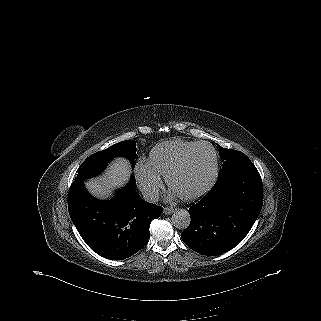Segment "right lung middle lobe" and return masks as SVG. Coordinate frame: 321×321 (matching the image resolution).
<instances>
[{"label": "right lung middle lobe", "instance_id": "obj_1", "mask_svg": "<svg viewBox=\"0 0 321 321\" xmlns=\"http://www.w3.org/2000/svg\"><path fill=\"white\" fill-rule=\"evenodd\" d=\"M134 140H126L114 144L106 150L96 152L85 159L82 165L78 168L75 182L83 184V181L89 177L99 174L113 158L123 156L127 158L135 166L134 160L137 157L136 146ZM129 186L135 188V177L132 175Z\"/></svg>", "mask_w": 321, "mask_h": 321}]
</instances>
